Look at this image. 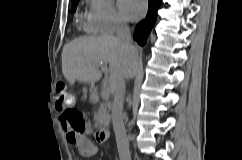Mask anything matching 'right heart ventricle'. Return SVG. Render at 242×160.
I'll list each match as a JSON object with an SVG mask.
<instances>
[{
	"instance_id": "obj_1",
	"label": "right heart ventricle",
	"mask_w": 242,
	"mask_h": 160,
	"mask_svg": "<svg viewBox=\"0 0 242 160\" xmlns=\"http://www.w3.org/2000/svg\"><path fill=\"white\" fill-rule=\"evenodd\" d=\"M80 21L82 24L86 25V26H90V18L89 16H85V15H81L80 16Z\"/></svg>"
}]
</instances>
